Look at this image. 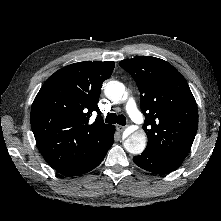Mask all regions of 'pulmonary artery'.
Returning a JSON list of instances; mask_svg holds the SVG:
<instances>
[{"mask_svg":"<svg viewBox=\"0 0 221 221\" xmlns=\"http://www.w3.org/2000/svg\"><path fill=\"white\" fill-rule=\"evenodd\" d=\"M125 109L134 122L141 123L143 121V117L139 112L136 102L133 98L128 99Z\"/></svg>","mask_w":221,"mask_h":221,"instance_id":"e3ab8cb5","label":"pulmonary artery"}]
</instances>
